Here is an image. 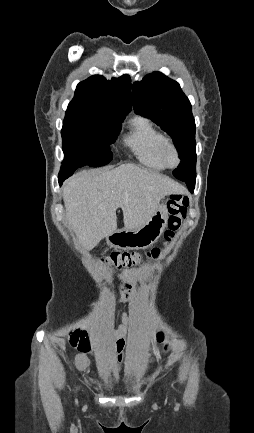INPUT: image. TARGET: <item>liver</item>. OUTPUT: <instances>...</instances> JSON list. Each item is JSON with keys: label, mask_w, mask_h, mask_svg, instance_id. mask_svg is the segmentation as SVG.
<instances>
[{"label": "liver", "mask_w": 254, "mask_h": 433, "mask_svg": "<svg viewBox=\"0 0 254 433\" xmlns=\"http://www.w3.org/2000/svg\"><path fill=\"white\" fill-rule=\"evenodd\" d=\"M182 187L158 172L132 163L100 174L72 177L63 189L66 217L81 245L91 250L117 230V208L123 211L124 226L136 229L156 212L166 195Z\"/></svg>", "instance_id": "liver-1"}]
</instances>
